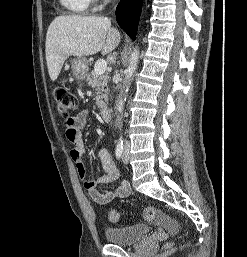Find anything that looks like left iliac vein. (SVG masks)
I'll return each mask as SVG.
<instances>
[{"label": "left iliac vein", "mask_w": 247, "mask_h": 257, "mask_svg": "<svg viewBox=\"0 0 247 257\" xmlns=\"http://www.w3.org/2000/svg\"><path fill=\"white\" fill-rule=\"evenodd\" d=\"M122 161H123L124 164H127L128 161H129V153H128V150H127V149H125V152H124Z\"/></svg>", "instance_id": "left-iliac-vein-1"}]
</instances>
